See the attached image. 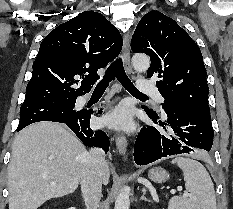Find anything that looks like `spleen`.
Here are the masks:
<instances>
[{"mask_svg": "<svg viewBox=\"0 0 233 209\" xmlns=\"http://www.w3.org/2000/svg\"><path fill=\"white\" fill-rule=\"evenodd\" d=\"M183 171L188 197L171 198L168 209H216L213 182L205 167L190 158L177 157L171 161Z\"/></svg>", "mask_w": 233, "mask_h": 209, "instance_id": "3e777b00", "label": "spleen"}]
</instances>
